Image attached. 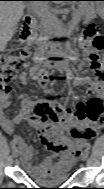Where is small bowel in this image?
Listing matches in <instances>:
<instances>
[{
	"mask_svg": "<svg viewBox=\"0 0 104 189\" xmlns=\"http://www.w3.org/2000/svg\"><path fill=\"white\" fill-rule=\"evenodd\" d=\"M29 74L31 78L37 79L39 70L33 67L30 69ZM27 78L26 73L22 74L20 77L23 83L27 81ZM72 81L76 85H87V91L95 95V97L89 101L94 99L101 100L103 84L99 79H93L89 75H78L72 77ZM86 103L79 102L75 106L66 109L64 113L58 117L56 110L48 101L35 102L29 98H24L21 101V107L17 117L12 120L5 113V110L10 104V97L9 95L2 97L0 106L1 127L7 134L13 136L12 143H14L19 150L22 163L30 174L43 175L48 168L53 166L70 168L73 162L79 158L86 142L96 135L103 124L102 115L98 118L92 117L86 108ZM39 106L46 108L52 107L53 110L46 111L44 116L38 115L37 108ZM33 110H35V116L32 118L31 122L39 127L54 126V130L57 133L55 137L61 141V144L58 145H50L43 141L46 148L53 153V157L37 165L31 162L33 157L32 147L28 145L21 136L14 135V123L30 119ZM59 122L62 124L60 125ZM64 129H68V134L63 132Z\"/></svg>",
	"mask_w": 104,
	"mask_h": 189,
	"instance_id": "obj_1",
	"label": "small bowel"
}]
</instances>
